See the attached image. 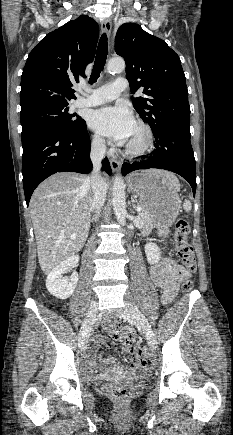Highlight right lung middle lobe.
Here are the masks:
<instances>
[{
	"mask_svg": "<svg viewBox=\"0 0 233 435\" xmlns=\"http://www.w3.org/2000/svg\"><path fill=\"white\" fill-rule=\"evenodd\" d=\"M68 105L42 108L31 113L21 115L22 136L34 131L55 127L68 131H76L85 121L74 114L68 113Z\"/></svg>",
	"mask_w": 233,
	"mask_h": 435,
	"instance_id": "1",
	"label": "right lung middle lobe"
}]
</instances>
